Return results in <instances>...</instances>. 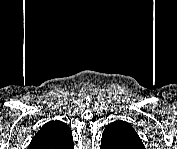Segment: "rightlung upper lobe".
I'll use <instances>...</instances> for the list:
<instances>
[{
  "label": "right lung upper lobe",
  "mask_w": 177,
  "mask_h": 149,
  "mask_svg": "<svg viewBox=\"0 0 177 149\" xmlns=\"http://www.w3.org/2000/svg\"><path fill=\"white\" fill-rule=\"evenodd\" d=\"M74 146L72 131L62 121L47 122L33 137L29 147L36 149H70Z\"/></svg>",
  "instance_id": "1"
}]
</instances>
